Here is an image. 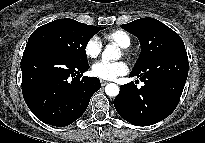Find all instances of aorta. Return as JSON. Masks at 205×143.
Here are the masks:
<instances>
[{
	"label": "aorta",
	"instance_id": "aorta-1",
	"mask_svg": "<svg viewBox=\"0 0 205 143\" xmlns=\"http://www.w3.org/2000/svg\"><path fill=\"white\" fill-rule=\"evenodd\" d=\"M121 56L120 51L113 45H107L102 53L103 61L117 60ZM105 92L110 97H115L119 94V87L115 83H109L105 87Z\"/></svg>",
	"mask_w": 205,
	"mask_h": 143
}]
</instances>
